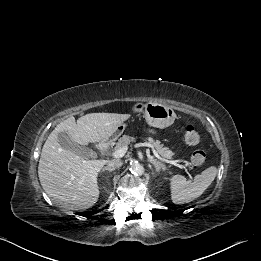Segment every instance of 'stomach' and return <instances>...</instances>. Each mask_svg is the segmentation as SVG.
I'll return each mask as SVG.
<instances>
[{
  "label": "stomach",
  "mask_w": 261,
  "mask_h": 261,
  "mask_svg": "<svg viewBox=\"0 0 261 261\" xmlns=\"http://www.w3.org/2000/svg\"><path fill=\"white\" fill-rule=\"evenodd\" d=\"M134 112L143 113L147 124L151 127L166 128L174 123L176 114L174 110L165 104L159 103H136L133 106ZM125 129V124L117 126L114 133L108 138V140H115Z\"/></svg>",
  "instance_id": "obj_1"
}]
</instances>
